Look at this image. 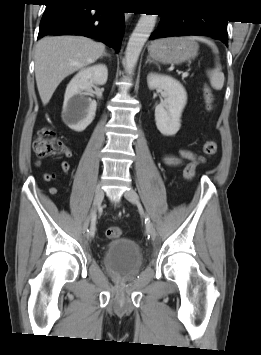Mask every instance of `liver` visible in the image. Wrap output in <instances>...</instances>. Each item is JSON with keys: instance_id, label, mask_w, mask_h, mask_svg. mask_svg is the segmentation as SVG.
I'll return each instance as SVG.
<instances>
[{"instance_id": "1", "label": "liver", "mask_w": 261, "mask_h": 355, "mask_svg": "<svg viewBox=\"0 0 261 355\" xmlns=\"http://www.w3.org/2000/svg\"><path fill=\"white\" fill-rule=\"evenodd\" d=\"M105 45L81 36L44 37L35 50V77L43 105L63 79L95 62Z\"/></svg>"}]
</instances>
